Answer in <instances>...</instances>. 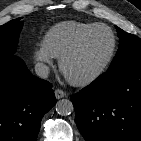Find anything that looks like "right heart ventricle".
<instances>
[{"instance_id": "1", "label": "right heart ventricle", "mask_w": 141, "mask_h": 141, "mask_svg": "<svg viewBox=\"0 0 141 141\" xmlns=\"http://www.w3.org/2000/svg\"><path fill=\"white\" fill-rule=\"evenodd\" d=\"M96 23L64 21L51 27L44 35L42 46L54 58H60L89 27Z\"/></svg>"}]
</instances>
